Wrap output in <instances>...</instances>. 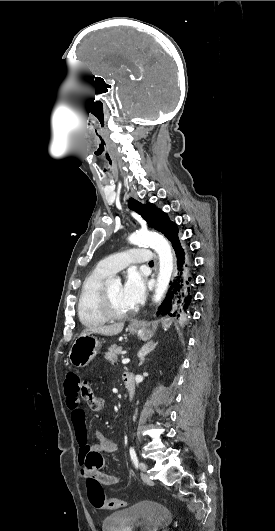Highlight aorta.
Wrapping results in <instances>:
<instances>
[{
	"mask_svg": "<svg viewBox=\"0 0 275 531\" xmlns=\"http://www.w3.org/2000/svg\"><path fill=\"white\" fill-rule=\"evenodd\" d=\"M141 239L146 241L150 247H153L159 257V275L157 277L153 301L154 303H160L168 289L171 275L173 273L171 245H169L164 237L156 235V233H150V231H145V233H133V235H130L129 237V241L132 245H136L137 241H141ZM107 283L110 289H115V287H120L121 279L120 277H116V279H107Z\"/></svg>",
	"mask_w": 275,
	"mask_h": 531,
	"instance_id": "1",
	"label": "aorta"
}]
</instances>
